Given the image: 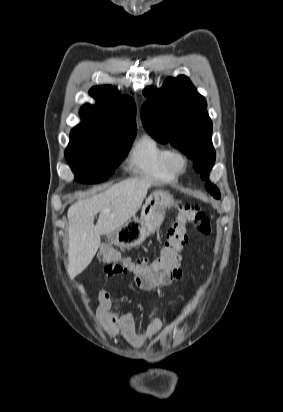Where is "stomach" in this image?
Returning <instances> with one entry per match:
<instances>
[{
    "instance_id": "obj_1",
    "label": "stomach",
    "mask_w": 283,
    "mask_h": 412,
    "mask_svg": "<svg viewBox=\"0 0 283 412\" xmlns=\"http://www.w3.org/2000/svg\"><path fill=\"white\" fill-rule=\"evenodd\" d=\"M174 206L171 194L165 191H155L142 207L140 219L126 223L118 230L109 234L111 243L123 248L141 245L148 236L154 234L162 225L166 209Z\"/></svg>"
}]
</instances>
